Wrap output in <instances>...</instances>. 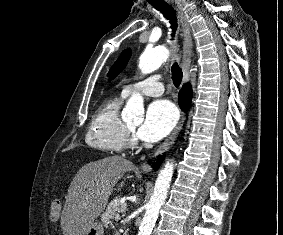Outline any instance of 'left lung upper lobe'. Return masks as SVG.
<instances>
[{
  "label": "left lung upper lobe",
  "mask_w": 283,
  "mask_h": 235,
  "mask_svg": "<svg viewBox=\"0 0 283 235\" xmlns=\"http://www.w3.org/2000/svg\"><path fill=\"white\" fill-rule=\"evenodd\" d=\"M130 55H131L130 49H126L121 53L120 57L118 58V60L112 66V68L108 73L110 79L115 78L118 75V73L123 70V68L126 66L130 58Z\"/></svg>",
  "instance_id": "5c2ea615"
}]
</instances>
